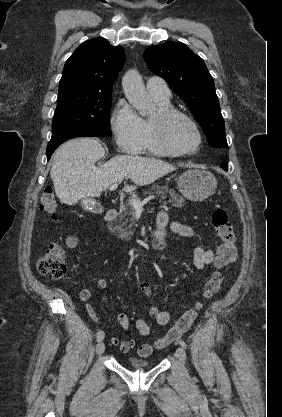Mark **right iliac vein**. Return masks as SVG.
Returning <instances> with one entry per match:
<instances>
[{"label":"right iliac vein","instance_id":"right-iliac-vein-1","mask_svg":"<svg viewBox=\"0 0 282 417\" xmlns=\"http://www.w3.org/2000/svg\"><path fill=\"white\" fill-rule=\"evenodd\" d=\"M105 350V345L102 341H100L96 346V353L98 355H102Z\"/></svg>","mask_w":282,"mask_h":417}]
</instances>
